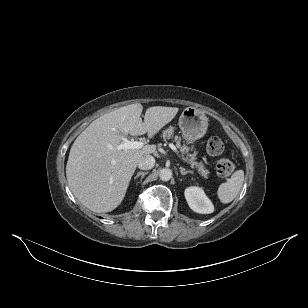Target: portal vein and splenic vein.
I'll return each instance as SVG.
<instances>
[{
	"instance_id": "obj_1",
	"label": "portal vein and splenic vein",
	"mask_w": 308,
	"mask_h": 308,
	"mask_svg": "<svg viewBox=\"0 0 308 308\" xmlns=\"http://www.w3.org/2000/svg\"><path fill=\"white\" fill-rule=\"evenodd\" d=\"M122 140L123 141L121 144L117 147L119 150L141 149L144 147V142L142 141H129L126 138H122ZM169 147L178 155L181 160H184L175 145L169 144Z\"/></svg>"
}]
</instances>
